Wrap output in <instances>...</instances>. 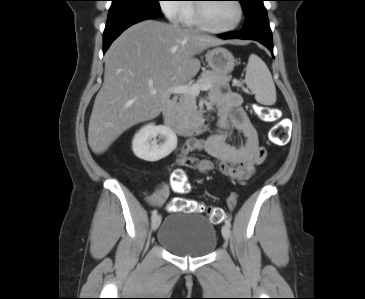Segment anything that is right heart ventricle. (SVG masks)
<instances>
[{
    "instance_id": "right-heart-ventricle-1",
    "label": "right heart ventricle",
    "mask_w": 365,
    "mask_h": 299,
    "mask_svg": "<svg viewBox=\"0 0 365 299\" xmlns=\"http://www.w3.org/2000/svg\"><path fill=\"white\" fill-rule=\"evenodd\" d=\"M184 16L182 18V23L187 27H199L196 22L195 6L192 4H187Z\"/></svg>"
}]
</instances>
